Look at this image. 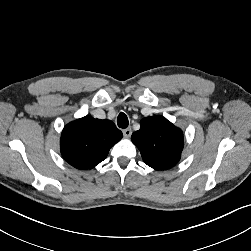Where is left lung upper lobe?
Listing matches in <instances>:
<instances>
[{"instance_id":"5c2ea615","label":"left lung upper lobe","mask_w":251,"mask_h":251,"mask_svg":"<svg viewBox=\"0 0 251 251\" xmlns=\"http://www.w3.org/2000/svg\"><path fill=\"white\" fill-rule=\"evenodd\" d=\"M141 128L131 136L140 150L143 161L156 170H166L180 160L183 133L164 117H145Z\"/></svg>"}]
</instances>
